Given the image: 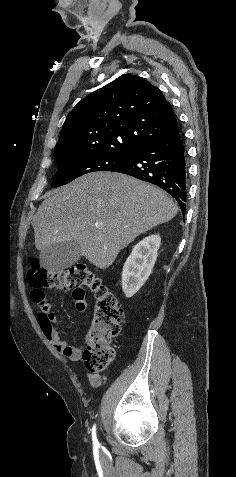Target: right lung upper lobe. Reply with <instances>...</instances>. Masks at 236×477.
<instances>
[{"label": "right lung upper lobe", "mask_w": 236, "mask_h": 477, "mask_svg": "<svg viewBox=\"0 0 236 477\" xmlns=\"http://www.w3.org/2000/svg\"><path fill=\"white\" fill-rule=\"evenodd\" d=\"M178 127L169 102L148 81L125 74L82 99L63 124L54 158L131 156Z\"/></svg>", "instance_id": "cb5924a9"}]
</instances>
